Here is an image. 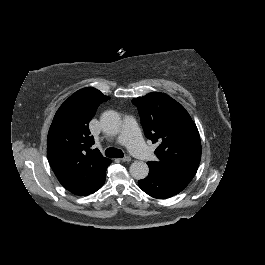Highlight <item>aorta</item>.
I'll use <instances>...</instances> for the list:
<instances>
[{"label": "aorta", "instance_id": "762f6f07", "mask_svg": "<svg viewBox=\"0 0 265 265\" xmlns=\"http://www.w3.org/2000/svg\"><path fill=\"white\" fill-rule=\"evenodd\" d=\"M100 124L105 133H117L121 125L119 113L115 110H106L100 117ZM129 171L134 179L141 180L148 176L149 168L145 162L136 161L131 164Z\"/></svg>", "mask_w": 265, "mask_h": 265}]
</instances>
